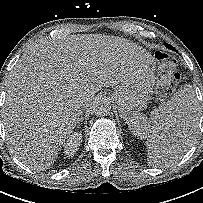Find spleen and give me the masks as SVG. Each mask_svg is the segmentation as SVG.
Masks as SVG:
<instances>
[{
  "label": "spleen",
  "mask_w": 203,
  "mask_h": 203,
  "mask_svg": "<svg viewBox=\"0 0 203 203\" xmlns=\"http://www.w3.org/2000/svg\"><path fill=\"white\" fill-rule=\"evenodd\" d=\"M196 106L192 86L186 84L167 103L152 110L150 119L138 112L130 116L127 124L132 133L140 138H148L149 163L168 167L176 163L191 147L192 136L197 130ZM173 127L179 128V135L187 133L188 137L180 143H172L165 133Z\"/></svg>",
  "instance_id": "obj_1"
}]
</instances>
